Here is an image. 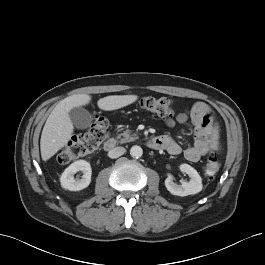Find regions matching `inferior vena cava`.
Instances as JSON below:
<instances>
[{
	"mask_svg": "<svg viewBox=\"0 0 265 265\" xmlns=\"http://www.w3.org/2000/svg\"><path fill=\"white\" fill-rule=\"evenodd\" d=\"M125 153L124 147H115L108 152L110 158H118Z\"/></svg>",
	"mask_w": 265,
	"mask_h": 265,
	"instance_id": "602c4592",
	"label": "inferior vena cava"
}]
</instances>
